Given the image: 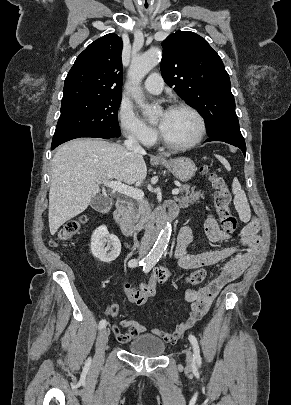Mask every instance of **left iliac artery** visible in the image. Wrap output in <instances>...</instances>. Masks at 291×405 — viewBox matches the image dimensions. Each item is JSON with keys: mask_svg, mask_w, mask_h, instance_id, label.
<instances>
[{"mask_svg": "<svg viewBox=\"0 0 291 405\" xmlns=\"http://www.w3.org/2000/svg\"><path fill=\"white\" fill-rule=\"evenodd\" d=\"M155 265V262H148L144 267H143V271L145 273H148L153 266ZM190 343L192 344L193 347V359L194 361L200 365L201 364V357H200V349H199V345H198V341L196 339V337L192 334L189 335L188 337Z\"/></svg>", "mask_w": 291, "mask_h": 405, "instance_id": "left-iliac-artery-1", "label": "left iliac artery"}]
</instances>
